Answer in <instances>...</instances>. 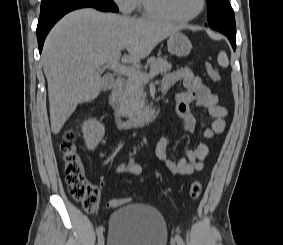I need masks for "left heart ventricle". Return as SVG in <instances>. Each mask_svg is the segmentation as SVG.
Masks as SVG:
<instances>
[{"mask_svg":"<svg viewBox=\"0 0 283 245\" xmlns=\"http://www.w3.org/2000/svg\"><path fill=\"white\" fill-rule=\"evenodd\" d=\"M201 0H158V6L168 15L187 17L193 15Z\"/></svg>","mask_w":283,"mask_h":245,"instance_id":"obj_1","label":"left heart ventricle"}]
</instances>
